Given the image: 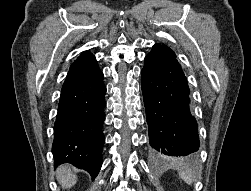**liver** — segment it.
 I'll use <instances>...</instances> for the list:
<instances>
[{"label":"liver","instance_id":"1","mask_svg":"<svg viewBox=\"0 0 251 191\" xmlns=\"http://www.w3.org/2000/svg\"><path fill=\"white\" fill-rule=\"evenodd\" d=\"M56 177L59 183H61L63 189H66V187H72L77 181V177L74 175L69 163H64V165H59V167H57Z\"/></svg>","mask_w":251,"mask_h":191}]
</instances>
